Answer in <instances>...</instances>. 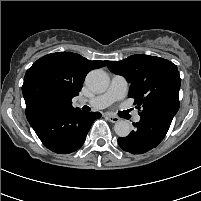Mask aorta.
I'll return each mask as SVG.
<instances>
[{"instance_id":"762f6f07","label":"aorta","mask_w":201,"mask_h":201,"mask_svg":"<svg viewBox=\"0 0 201 201\" xmlns=\"http://www.w3.org/2000/svg\"><path fill=\"white\" fill-rule=\"evenodd\" d=\"M86 84L93 92L103 93L108 88L109 78L103 70H92L86 77ZM114 131L119 137H126L130 134L131 127L126 120H120L115 123Z\"/></svg>"}]
</instances>
